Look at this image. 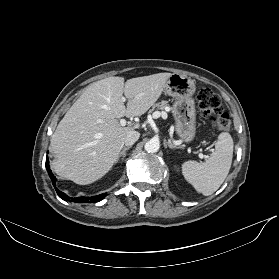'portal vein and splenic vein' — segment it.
Masks as SVG:
<instances>
[{"instance_id":"1","label":"portal vein and splenic vein","mask_w":279,"mask_h":279,"mask_svg":"<svg viewBox=\"0 0 279 279\" xmlns=\"http://www.w3.org/2000/svg\"><path fill=\"white\" fill-rule=\"evenodd\" d=\"M122 100L125 102V98H124V97L122 98ZM164 114L166 115V113H164ZM160 115H161L160 112H155V113L153 114V117H154V118H159ZM126 123H127V121H126L125 119H121V120H120V125H121V126H125ZM137 127H138V126L136 125L135 128H137ZM204 157H205V156H204L202 153H199V158L203 159Z\"/></svg>"}]
</instances>
